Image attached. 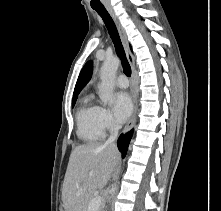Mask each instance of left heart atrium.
<instances>
[{
	"mask_svg": "<svg viewBox=\"0 0 221 211\" xmlns=\"http://www.w3.org/2000/svg\"><path fill=\"white\" fill-rule=\"evenodd\" d=\"M133 104L126 92H118L113 98V111L120 122L125 121L132 113Z\"/></svg>",
	"mask_w": 221,
	"mask_h": 211,
	"instance_id": "1",
	"label": "left heart atrium"
}]
</instances>
